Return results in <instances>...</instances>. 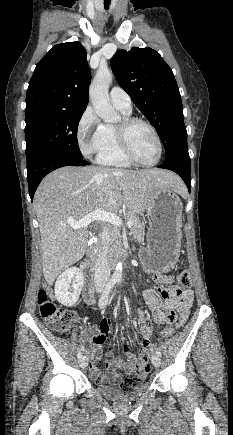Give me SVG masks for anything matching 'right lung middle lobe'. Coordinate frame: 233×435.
I'll return each mask as SVG.
<instances>
[{"label": "right lung middle lobe", "mask_w": 233, "mask_h": 435, "mask_svg": "<svg viewBox=\"0 0 233 435\" xmlns=\"http://www.w3.org/2000/svg\"><path fill=\"white\" fill-rule=\"evenodd\" d=\"M84 111H53L26 116V158L43 151H60L83 158L77 130Z\"/></svg>", "instance_id": "obj_1"}]
</instances>
